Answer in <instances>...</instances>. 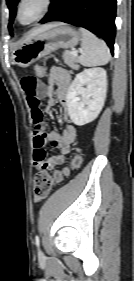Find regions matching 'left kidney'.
<instances>
[{"instance_id": "1", "label": "left kidney", "mask_w": 134, "mask_h": 281, "mask_svg": "<svg viewBox=\"0 0 134 281\" xmlns=\"http://www.w3.org/2000/svg\"><path fill=\"white\" fill-rule=\"evenodd\" d=\"M106 91L107 76L103 68L84 69L77 74L66 96L72 122L83 126L95 120L104 106Z\"/></svg>"}]
</instances>
